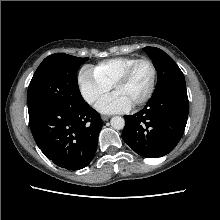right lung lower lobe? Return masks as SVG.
I'll return each instance as SVG.
<instances>
[{"instance_id": "1", "label": "right lung lower lobe", "mask_w": 220, "mask_h": 220, "mask_svg": "<svg viewBox=\"0 0 220 220\" xmlns=\"http://www.w3.org/2000/svg\"><path fill=\"white\" fill-rule=\"evenodd\" d=\"M29 123L43 154L68 170H79L90 163L103 126L100 114L87 103L74 109L45 107L30 113Z\"/></svg>"}]
</instances>
